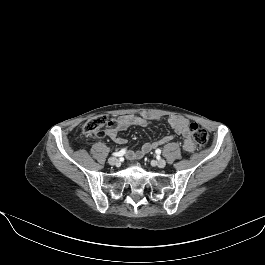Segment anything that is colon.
Here are the masks:
<instances>
[{"label":"colon","mask_w":265,"mask_h":265,"mask_svg":"<svg viewBox=\"0 0 265 265\" xmlns=\"http://www.w3.org/2000/svg\"><path fill=\"white\" fill-rule=\"evenodd\" d=\"M112 122L105 116H98L87 121L83 126V132L89 137H102L104 129L111 126ZM190 132L196 144L206 146L209 142V136L205 129L201 128L196 123H190Z\"/></svg>","instance_id":"1"}]
</instances>
